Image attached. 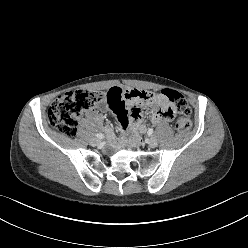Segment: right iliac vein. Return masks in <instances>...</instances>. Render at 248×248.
Instances as JSON below:
<instances>
[{
	"instance_id": "obj_1",
	"label": "right iliac vein",
	"mask_w": 248,
	"mask_h": 248,
	"mask_svg": "<svg viewBox=\"0 0 248 248\" xmlns=\"http://www.w3.org/2000/svg\"><path fill=\"white\" fill-rule=\"evenodd\" d=\"M91 145L97 146L100 143V140L98 138H93L90 140Z\"/></svg>"
}]
</instances>
